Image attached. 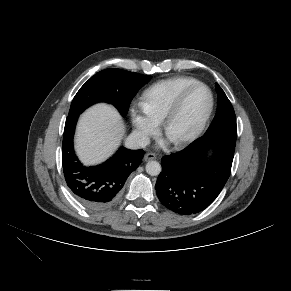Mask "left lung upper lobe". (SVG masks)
<instances>
[{"mask_svg":"<svg viewBox=\"0 0 291 291\" xmlns=\"http://www.w3.org/2000/svg\"><path fill=\"white\" fill-rule=\"evenodd\" d=\"M218 93L217 112L205 134L214 133L220 130L237 131L234 109L222 88L216 83Z\"/></svg>","mask_w":291,"mask_h":291,"instance_id":"5c2ea615","label":"left lung upper lobe"}]
</instances>
